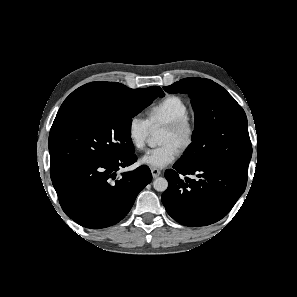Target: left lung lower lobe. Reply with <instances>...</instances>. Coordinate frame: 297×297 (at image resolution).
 <instances>
[{"instance_id": "obj_1", "label": "left lung lower lobe", "mask_w": 297, "mask_h": 297, "mask_svg": "<svg viewBox=\"0 0 297 297\" xmlns=\"http://www.w3.org/2000/svg\"><path fill=\"white\" fill-rule=\"evenodd\" d=\"M165 177L168 188L162 203L174 220L190 227L210 225L226 216L247 184V175L213 164L188 166L176 162Z\"/></svg>"}]
</instances>
